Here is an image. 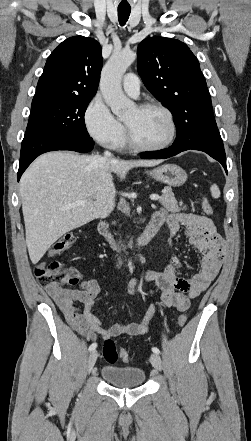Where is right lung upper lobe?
<instances>
[{"mask_svg": "<svg viewBox=\"0 0 251 441\" xmlns=\"http://www.w3.org/2000/svg\"><path fill=\"white\" fill-rule=\"evenodd\" d=\"M102 69L100 44L74 36L63 41L48 57L33 101L46 98L93 97Z\"/></svg>", "mask_w": 251, "mask_h": 441, "instance_id": "right-lung-upper-lobe-1", "label": "right lung upper lobe"}]
</instances>
